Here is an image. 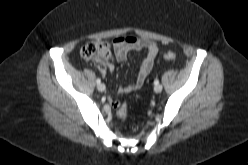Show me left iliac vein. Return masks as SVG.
<instances>
[{
  "mask_svg": "<svg viewBox=\"0 0 248 165\" xmlns=\"http://www.w3.org/2000/svg\"><path fill=\"white\" fill-rule=\"evenodd\" d=\"M162 89H163V87L160 84H157V85L154 86V91L156 93H160L162 91Z\"/></svg>",
  "mask_w": 248,
  "mask_h": 165,
  "instance_id": "4c4485c4",
  "label": "left iliac vein"
}]
</instances>
